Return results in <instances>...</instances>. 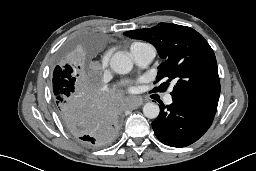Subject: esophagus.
I'll use <instances>...</instances> for the list:
<instances>
[{
	"instance_id": "1",
	"label": "esophagus",
	"mask_w": 256,
	"mask_h": 171,
	"mask_svg": "<svg viewBox=\"0 0 256 171\" xmlns=\"http://www.w3.org/2000/svg\"><path fill=\"white\" fill-rule=\"evenodd\" d=\"M142 104H143V100L142 99L135 98L133 100H130L127 103V107L129 109H131V110H134V109H137L138 107H140Z\"/></svg>"
}]
</instances>
